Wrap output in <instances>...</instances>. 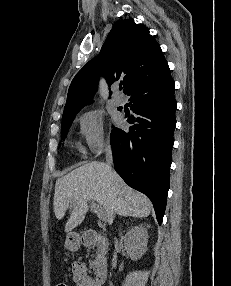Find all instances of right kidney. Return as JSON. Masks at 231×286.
Here are the masks:
<instances>
[{"mask_svg": "<svg viewBox=\"0 0 231 286\" xmlns=\"http://www.w3.org/2000/svg\"><path fill=\"white\" fill-rule=\"evenodd\" d=\"M148 233L143 226L132 227L125 235L124 246L132 260L140 259L147 251Z\"/></svg>", "mask_w": 231, "mask_h": 286, "instance_id": "right-kidney-1", "label": "right kidney"}]
</instances>
